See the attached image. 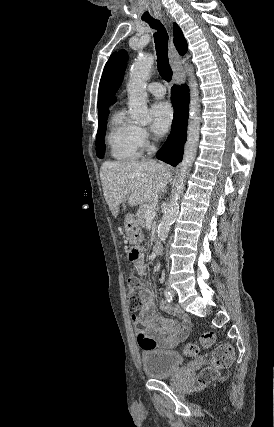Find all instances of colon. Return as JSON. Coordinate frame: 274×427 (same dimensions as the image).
Here are the masks:
<instances>
[{"mask_svg":"<svg viewBox=\"0 0 274 427\" xmlns=\"http://www.w3.org/2000/svg\"><path fill=\"white\" fill-rule=\"evenodd\" d=\"M130 258L132 263H139L144 258V247L138 245L131 248ZM127 284L129 289V295L127 298L128 309L134 311L139 308L141 304V295L143 289V283L140 281L133 270H129L127 273ZM214 343L213 332L206 331L199 334V338L196 343H186L182 348V353L185 358H190L198 349V346L202 348H208ZM235 359L234 349L231 345L226 343L218 344L214 348L212 356V364L201 369L198 376V383L201 386H205L208 383L215 381L219 374L220 369L229 368Z\"/></svg>","mask_w":274,"mask_h":427,"instance_id":"1","label":"colon"}]
</instances>
